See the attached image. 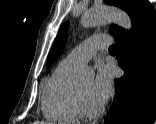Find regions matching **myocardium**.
<instances>
[{
  "instance_id": "f54148a6",
  "label": "myocardium",
  "mask_w": 156,
  "mask_h": 124,
  "mask_svg": "<svg viewBox=\"0 0 156 124\" xmlns=\"http://www.w3.org/2000/svg\"><path fill=\"white\" fill-rule=\"evenodd\" d=\"M74 93H75L76 105L81 116L92 118V117L98 116L103 111L104 109L103 105H100L96 108H90L86 104L78 83H75L74 85Z\"/></svg>"
}]
</instances>
